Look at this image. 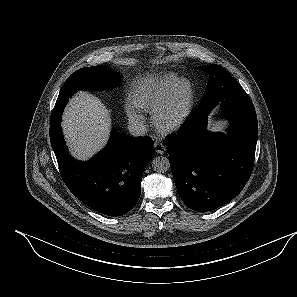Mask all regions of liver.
<instances>
[{"instance_id": "liver-1", "label": "liver", "mask_w": 297, "mask_h": 297, "mask_svg": "<svg viewBox=\"0 0 297 297\" xmlns=\"http://www.w3.org/2000/svg\"><path fill=\"white\" fill-rule=\"evenodd\" d=\"M62 128L72 155L86 160L106 144L111 128L110 112L97 97L81 91L69 101Z\"/></svg>"}]
</instances>
